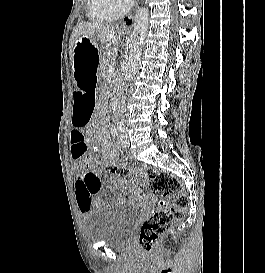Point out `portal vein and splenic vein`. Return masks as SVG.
Instances as JSON below:
<instances>
[{"mask_svg":"<svg viewBox=\"0 0 265 273\" xmlns=\"http://www.w3.org/2000/svg\"><path fill=\"white\" fill-rule=\"evenodd\" d=\"M114 71H115V68H114V67H110V68L108 69L107 73H112V72H114Z\"/></svg>","mask_w":265,"mask_h":273,"instance_id":"1","label":"portal vein and splenic vein"}]
</instances>
